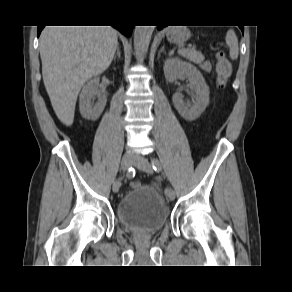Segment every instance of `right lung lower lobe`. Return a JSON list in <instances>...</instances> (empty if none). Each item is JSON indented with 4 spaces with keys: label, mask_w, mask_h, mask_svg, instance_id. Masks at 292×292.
I'll list each match as a JSON object with an SVG mask.
<instances>
[{
    "label": "right lung lower lobe",
    "mask_w": 292,
    "mask_h": 292,
    "mask_svg": "<svg viewBox=\"0 0 292 292\" xmlns=\"http://www.w3.org/2000/svg\"><path fill=\"white\" fill-rule=\"evenodd\" d=\"M113 27H115L116 29H118L122 34L126 35V36H131L132 34V30H133V26L129 25V24H118V25H113ZM44 28L41 26H38V36L40 35L42 29Z\"/></svg>",
    "instance_id": "98d812e1"
}]
</instances>
